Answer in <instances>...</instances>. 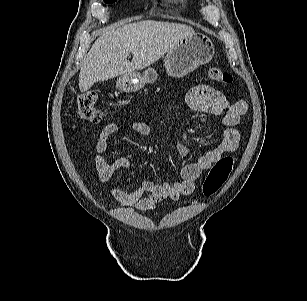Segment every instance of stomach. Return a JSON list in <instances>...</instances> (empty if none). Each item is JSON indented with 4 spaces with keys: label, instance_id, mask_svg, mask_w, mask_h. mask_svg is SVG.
<instances>
[{
    "label": "stomach",
    "instance_id": "1",
    "mask_svg": "<svg viewBox=\"0 0 307 301\" xmlns=\"http://www.w3.org/2000/svg\"><path fill=\"white\" fill-rule=\"evenodd\" d=\"M214 53V45L208 37L193 33L181 39L168 51L164 65L169 76L180 78L209 63ZM157 78L158 74L153 68H148L143 74L133 71L120 76L116 88L126 93L136 92L146 83L155 82Z\"/></svg>",
    "mask_w": 307,
    "mask_h": 301
}]
</instances>
